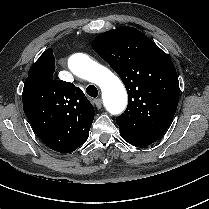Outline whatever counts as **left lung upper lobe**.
I'll return each mask as SVG.
<instances>
[{"mask_svg":"<svg viewBox=\"0 0 209 209\" xmlns=\"http://www.w3.org/2000/svg\"><path fill=\"white\" fill-rule=\"evenodd\" d=\"M92 48L120 76L128 106L116 118L121 135L149 145L169 127L179 81L169 56L139 30L121 26L98 35Z\"/></svg>","mask_w":209,"mask_h":209,"instance_id":"left-lung-upper-lobe-1","label":"left lung upper lobe"}]
</instances>
